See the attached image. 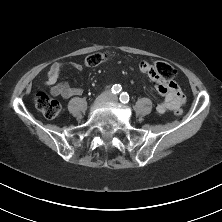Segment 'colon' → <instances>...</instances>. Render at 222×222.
Segmentation results:
<instances>
[{"instance_id": "colon-1", "label": "colon", "mask_w": 222, "mask_h": 222, "mask_svg": "<svg viewBox=\"0 0 222 222\" xmlns=\"http://www.w3.org/2000/svg\"><path fill=\"white\" fill-rule=\"evenodd\" d=\"M110 54L107 51H97L87 55L84 59V63L89 67H96L105 63ZM155 71L165 79L166 82L172 81L175 78L176 71L175 69L167 62L158 61L152 64ZM35 105L38 110L47 118L54 119L56 118L60 111V103L50 97L45 92H38L35 96ZM181 109H176L173 111L174 115L179 116L181 114Z\"/></svg>"}]
</instances>
